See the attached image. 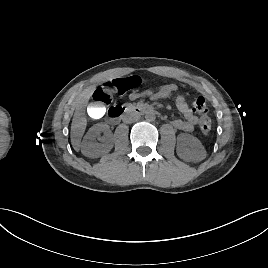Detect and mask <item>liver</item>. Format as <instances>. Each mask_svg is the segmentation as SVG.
Listing matches in <instances>:
<instances>
[{
    "label": "liver",
    "mask_w": 268,
    "mask_h": 268,
    "mask_svg": "<svg viewBox=\"0 0 268 268\" xmlns=\"http://www.w3.org/2000/svg\"><path fill=\"white\" fill-rule=\"evenodd\" d=\"M93 91L94 87H88L77 98V106L71 123V143L75 150H79L80 141L87 126L85 106Z\"/></svg>",
    "instance_id": "1"
}]
</instances>
